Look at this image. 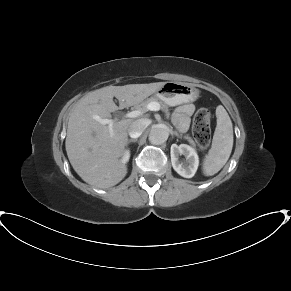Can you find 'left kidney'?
I'll use <instances>...</instances> for the list:
<instances>
[{"label":"left kidney","mask_w":291,"mask_h":291,"mask_svg":"<svg viewBox=\"0 0 291 291\" xmlns=\"http://www.w3.org/2000/svg\"><path fill=\"white\" fill-rule=\"evenodd\" d=\"M170 154L173 169L179 175L184 178H192L195 175L199 165V157L195 148L187 144H172ZM180 155L186 157V162L179 159Z\"/></svg>","instance_id":"1"}]
</instances>
